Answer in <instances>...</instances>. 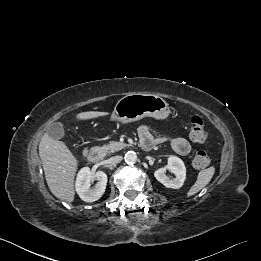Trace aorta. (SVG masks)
I'll return each mask as SVG.
<instances>
[{
  "mask_svg": "<svg viewBox=\"0 0 261 261\" xmlns=\"http://www.w3.org/2000/svg\"><path fill=\"white\" fill-rule=\"evenodd\" d=\"M137 161V155L134 151H128L125 154V162L127 164H134Z\"/></svg>",
  "mask_w": 261,
  "mask_h": 261,
  "instance_id": "aorta-1",
  "label": "aorta"
}]
</instances>
